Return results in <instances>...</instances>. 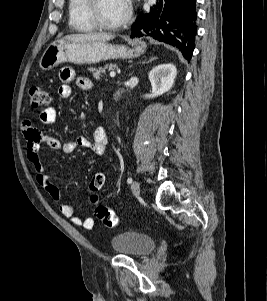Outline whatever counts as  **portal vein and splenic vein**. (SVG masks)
I'll use <instances>...</instances> for the list:
<instances>
[{"instance_id":"portal-vein-and-splenic-vein-1","label":"portal vein and splenic vein","mask_w":267,"mask_h":301,"mask_svg":"<svg viewBox=\"0 0 267 301\" xmlns=\"http://www.w3.org/2000/svg\"><path fill=\"white\" fill-rule=\"evenodd\" d=\"M109 75H110V77H115L116 76V72L115 71H111Z\"/></svg>"}]
</instances>
